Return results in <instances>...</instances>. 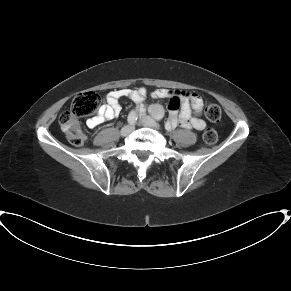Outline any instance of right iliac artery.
Instances as JSON below:
<instances>
[{"label":"right iliac artery","mask_w":291,"mask_h":291,"mask_svg":"<svg viewBox=\"0 0 291 291\" xmlns=\"http://www.w3.org/2000/svg\"><path fill=\"white\" fill-rule=\"evenodd\" d=\"M136 121H137V113H136V111L132 110L128 115V123L130 125H134L136 123Z\"/></svg>","instance_id":"1"}]
</instances>
